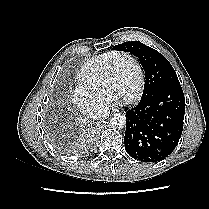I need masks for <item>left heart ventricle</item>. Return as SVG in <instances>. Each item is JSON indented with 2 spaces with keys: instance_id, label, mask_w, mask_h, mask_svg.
<instances>
[{
  "instance_id": "left-heart-ventricle-1",
  "label": "left heart ventricle",
  "mask_w": 209,
  "mask_h": 209,
  "mask_svg": "<svg viewBox=\"0 0 209 209\" xmlns=\"http://www.w3.org/2000/svg\"><path fill=\"white\" fill-rule=\"evenodd\" d=\"M137 80L134 63L128 58L117 59L108 85L107 96L124 100L132 93Z\"/></svg>"
}]
</instances>
